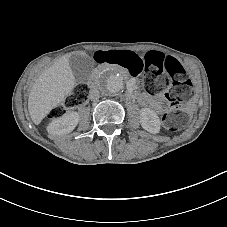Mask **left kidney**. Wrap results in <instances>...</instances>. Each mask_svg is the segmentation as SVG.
<instances>
[{
  "mask_svg": "<svg viewBox=\"0 0 227 227\" xmlns=\"http://www.w3.org/2000/svg\"><path fill=\"white\" fill-rule=\"evenodd\" d=\"M141 126L152 134H157L160 131V119L155 111L149 108H142L140 110Z\"/></svg>",
  "mask_w": 227,
  "mask_h": 227,
  "instance_id": "5707ae66",
  "label": "left kidney"
}]
</instances>
